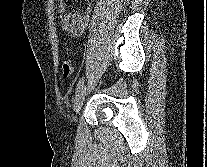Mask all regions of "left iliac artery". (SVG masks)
<instances>
[{"instance_id":"44dca946","label":"left iliac artery","mask_w":207,"mask_h":167,"mask_svg":"<svg viewBox=\"0 0 207 167\" xmlns=\"http://www.w3.org/2000/svg\"><path fill=\"white\" fill-rule=\"evenodd\" d=\"M84 84V77L80 78V80L78 81L77 83V86H76V91H75V94L77 95L78 92L80 91V89L82 88Z\"/></svg>"}]
</instances>
